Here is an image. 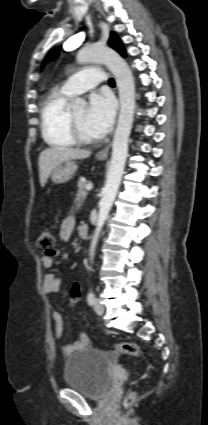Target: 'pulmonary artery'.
Instances as JSON below:
<instances>
[{
  "mask_svg": "<svg viewBox=\"0 0 208 425\" xmlns=\"http://www.w3.org/2000/svg\"><path fill=\"white\" fill-rule=\"evenodd\" d=\"M105 81V73L100 68L89 67L68 78L64 82L62 89L71 95H77Z\"/></svg>",
  "mask_w": 208,
  "mask_h": 425,
  "instance_id": "pulmonary-artery-1",
  "label": "pulmonary artery"
}]
</instances>
